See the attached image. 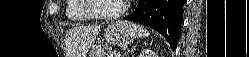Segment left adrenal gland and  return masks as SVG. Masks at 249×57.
Instances as JSON below:
<instances>
[{
    "mask_svg": "<svg viewBox=\"0 0 249 57\" xmlns=\"http://www.w3.org/2000/svg\"><path fill=\"white\" fill-rule=\"evenodd\" d=\"M136 47H137V45L131 49V52L134 51V50L136 49ZM128 52H129V51H127V53H128Z\"/></svg>",
    "mask_w": 249,
    "mask_h": 57,
    "instance_id": "left-adrenal-gland-1",
    "label": "left adrenal gland"
}]
</instances>
